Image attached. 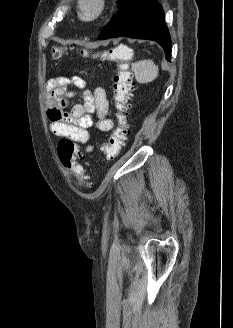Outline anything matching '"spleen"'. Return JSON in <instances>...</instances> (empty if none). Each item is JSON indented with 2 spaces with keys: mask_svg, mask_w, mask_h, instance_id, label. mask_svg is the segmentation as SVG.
I'll return each mask as SVG.
<instances>
[{
  "mask_svg": "<svg viewBox=\"0 0 233 328\" xmlns=\"http://www.w3.org/2000/svg\"><path fill=\"white\" fill-rule=\"evenodd\" d=\"M115 55H118V53L115 52ZM132 71L138 83L146 84L157 77L159 69L152 60L148 59L132 63Z\"/></svg>",
  "mask_w": 233,
  "mask_h": 328,
  "instance_id": "obj_1",
  "label": "spleen"
}]
</instances>
